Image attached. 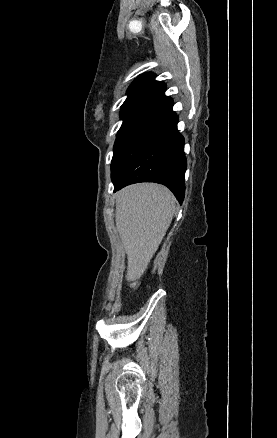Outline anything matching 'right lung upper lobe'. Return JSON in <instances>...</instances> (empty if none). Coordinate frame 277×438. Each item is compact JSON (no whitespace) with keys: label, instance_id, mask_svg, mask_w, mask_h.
Returning a JSON list of instances; mask_svg holds the SVG:
<instances>
[{"label":"right lung upper lobe","instance_id":"right-lung-upper-lobe-1","mask_svg":"<svg viewBox=\"0 0 277 438\" xmlns=\"http://www.w3.org/2000/svg\"><path fill=\"white\" fill-rule=\"evenodd\" d=\"M154 79L153 73H145L134 80L127 91L128 97L121 106V117L158 111L169 112L172 109V99L164 94L166 85Z\"/></svg>","mask_w":277,"mask_h":438}]
</instances>
